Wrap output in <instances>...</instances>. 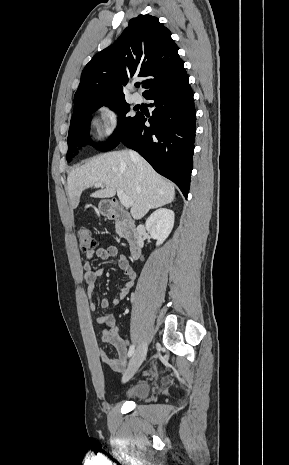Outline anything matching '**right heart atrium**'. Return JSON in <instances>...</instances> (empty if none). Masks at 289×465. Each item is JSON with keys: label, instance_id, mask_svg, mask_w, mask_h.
<instances>
[{"label": "right heart atrium", "instance_id": "right-heart-atrium-1", "mask_svg": "<svg viewBox=\"0 0 289 465\" xmlns=\"http://www.w3.org/2000/svg\"><path fill=\"white\" fill-rule=\"evenodd\" d=\"M98 111L100 114L99 133L108 138L115 136L120 124V115L116 108L110 104H103Z\"/></svg>", "mask_w": 289, "mask_h": 465}]
</instances>
